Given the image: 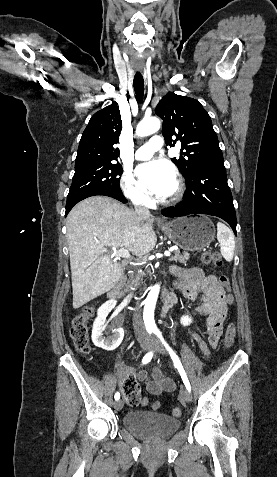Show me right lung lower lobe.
Returning <instances> with one entry per match:
<instances>
[{"mask_svg": "<svg viewBox=\"0 0 277 477\" xmlns=\"http://www.w3.org/2000/svg\"><path fill=\"white\" fill-rule=\"evenodd\" d=\"M96 195L109 196V197L115 198V199H117V200H119V201H121V202H123V203H126V202H127L126 198L123 196L122 193L97 192V193H93V194H91V195H89V196H86L85 198L90 197V196H96ZM85 198H84V199H85ZM82 200H83V199H82ZM77 203H78V202H77ZM74 205H75V204H74ZM74 205H73V206H74ZM73 206H71L70 208H66L65 216H67V214L69 213V211L72 209Z\"/></svg>", "mask_w": 277, "mask_h": 477, "instance_id": "right-lung-lower-lobe-1", "label": "right lung lower lobe"}]
</instances>
